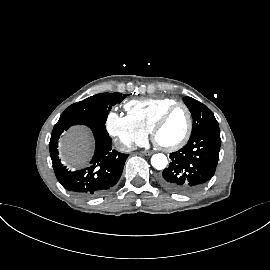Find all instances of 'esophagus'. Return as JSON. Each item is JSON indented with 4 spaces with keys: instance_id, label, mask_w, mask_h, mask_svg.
Masks as SVG:
<instances>
[{
    "instance_id": "esophagus-1",
    "label": "esophagus",
    "mask_w": 270,
    "mask_h": 270,
    "mask_svg": "<svg viewBox=\"0 0 270 270\" xmlns=\"http://www.w3.org/2000/svg\"><path fill=\"white\" fill-rule=\"evenodd\" d=\"M142 153H143L144 155H146V156H150V155L153 154L152 151H142Z\"/></svg>"
}]
</instances>
